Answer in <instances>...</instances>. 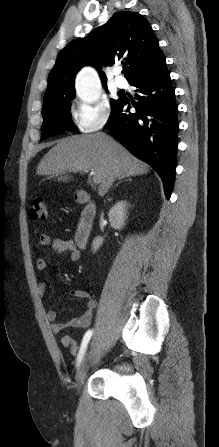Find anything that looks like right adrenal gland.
<instances>
[{
  "instance_id": "1",
  "label": "right adrenal gland",
  "mask_w": 219,
  "mask_h": 447,
  "mask_svg": "<svg viewBox=\"0 0 219 447\" xmlns=\"http://www.w3.org/2000/svg\"><path fill=\"white\" fill-rule=\"evenodd\" d=\"M124 181H131V178H128V179H126V180H124ZM121 182H123V181H122V180L119 181L115 186H118V184L121 183Z\"/></svg>"
}]
</instances>
